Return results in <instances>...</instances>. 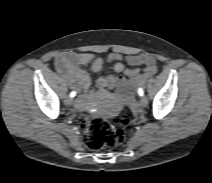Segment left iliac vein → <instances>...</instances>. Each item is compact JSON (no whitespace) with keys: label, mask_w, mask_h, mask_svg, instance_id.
Wrapping results in <instances>:
<instances>
[{"label":"left iliac vein","mask_w":212,"mask_h":183,"mask_svg":"<svg viewBox=\"0 0 212 183\" xmlns=\"http://www.w3.org/2000/svg\"><path fill=\"white\" fill-rule=\"evenodd\" d=\"M148 104V98L146 96H142L140 98V106L141 107H146Z\"/></svg>","instance_id":"1"}]
</instances>
